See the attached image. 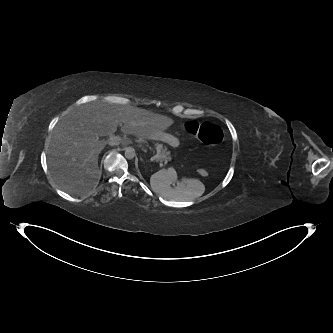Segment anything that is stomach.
<instances>
[{"label":"stomach","instance_id":"stomach-1","mask_svg":"<svg viewBox=\"0 0 333 333\" xmlns=\"http://www.w3.org/2000/svg\"><path fill=\"white\" fill-rule=\"evenodd\" d=\"M161 136H162V140L163 141H169L170 139H174L173 136H171V135H169L167 133H164V132H162Z\"/></svg>","mask_w":333,"mask_h":333}]
</instances>
